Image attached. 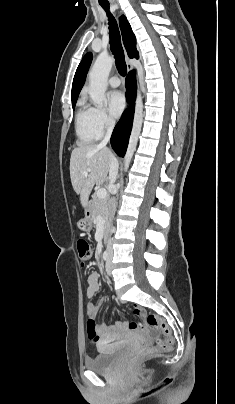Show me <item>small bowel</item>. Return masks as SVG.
Returning a JSON list of instances; mask_svg holds the SVG:
<instances>
[{"mask_svg":"<svg viewBox=\"0 0 235 404\" xmlns=\"http://www.w3.org/2000/svg\"><path fill=\"white\" fill-rule=\"evenodd\" d=\"M99 276L97 273H91L87 278V288L86 294L88 297H93L99 291ZM104 300L101 299L96 303H88L87 305V315L89 317L88 322L93 321L94 318L102 306ZM88 331H93L96 337L99 339L100 344L109 343L115 340H121L127 336L130 332V327L127 323L119 322L114 326H107L101 323H95L93 328L87 324ZM136 330V329H133ZM101 347V346H99Z\"/></svg>","mask_w":235,"mask_h":404,"instance_id":"small-bowel-1","label":"small bowel"}]
</instances>
